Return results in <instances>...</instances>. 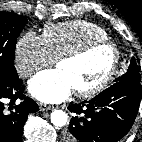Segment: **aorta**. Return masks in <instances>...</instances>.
I'll return each mask as SVG.
<instances>
[{"label": "aorta", "mask_w": 142, "mask_h": 142, "mask_svg": "<svg viewBox=\"0 0 142 142\" xmlns=\"http://www.w3.org/2000/svg\"><path fill=\"white\" fill-rule=\"evenodd\" d=\"M51 122L56 127L65 126L68 120L67 114L62 110H55L51 113Z\"/></svg>", "instance_id": "aorta-1"}]
</instances>
